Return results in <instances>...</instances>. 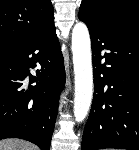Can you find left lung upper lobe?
Here are the masks:
<instances>
[{"label": "left lung upper lobe", "mask_w": 139, "mask_h": 150, "mask_svg": "<svg viewBox=\"0 0 139 150\" xmlns=\"http://www.w3.org/2000/svg\"><path fill=\"white\" fill-rule=\"evenodd\" d=\"M78 16L103 29L139 17L138 0H83Z\"/></svg>", "instance_id": "obj_1"}]
</instances>
